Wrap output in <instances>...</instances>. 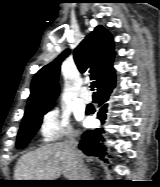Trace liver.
<instances>
[{"mask_svg": "<svg viewBox=\"0 0 160 187\" xmlns=\"http://www.w3.org/2000/svg\"><path fill=\"white\" fill-rule=\"evenodd\" d=\"M83 164V155L78 151ZM63 174L67 180L79 179V167L66 143L47 144L30 151L17 162L15 180H57Z\"/></svg>", "mask_w": 160, "mask_h": 187, "instance_id": "1", "label": "liver"}]
</instances>
